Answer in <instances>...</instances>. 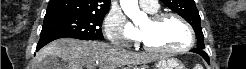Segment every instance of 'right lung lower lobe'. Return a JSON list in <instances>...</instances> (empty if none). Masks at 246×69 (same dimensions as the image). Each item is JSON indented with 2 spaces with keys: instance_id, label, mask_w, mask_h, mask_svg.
Listing matches in <instances>:
<instances>
[{
  "instance_id": "98d812e1",
  "label": "right lung lower lobe",
  "mask_w": 246,
  "mask_h": 69,
  "mask_svg": "<svg viewBox=\"0 0 246 69\" xmlns=\"http://www.w3.org/2000/svg\"><path fill=\"white\" fill-rule=\"evenodd\" d=\"M65 36H45V37H41L38 44H37V48L36 50L38 51L39 49H41L43 46H45L46 44H48L49 42L62 38ZM85 40H90V39H85Z\"/></svg>"
}]
</instances>
